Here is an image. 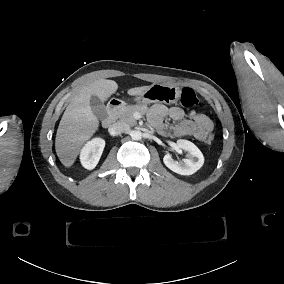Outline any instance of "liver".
<instances>
[{
    "label": "liver",
    "instance_id": "1",
    "mask_svg": "<svg viewBox=\"0 0 284 284\" xmlns=\"http://www.w3.org/2000/svg\"><path fill=\"white\" fill-rule=\"evenodd\" d=\"M149 86L128 90L131 96L141 95ZM118 85L113 80L98 79L80 87L67 106L57 129L55 148L57 156L65 167L74 163L82 145L98 129L99 121L90 106L91 96L105 101L116 92Z\"/></svg>",
    "mask_w": 284,
    "mask_h": 284
}]
</instances>
